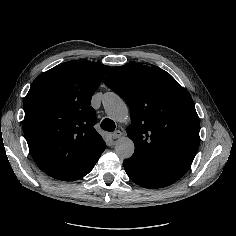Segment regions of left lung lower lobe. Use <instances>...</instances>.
Instances as JSON below:
<instances>
[{
	"instance_id": "obj_1",
	"label": "left lung lower lobe",
	"mask_w": 236,
	"mask_h": 236,
	"mask_svg": "<svg viewBox=\"0 0 236 236\" xmlns=\"http://www.w3.org/2000/svg\"><path fill=\"white\" fill-rule=\"evenodd\" d=\"M123 165L130 179L145 188H162L169 186L178 180L135 156L125 159Z\"/></svg>"
}]
</instances>
